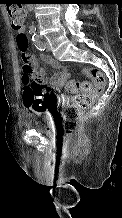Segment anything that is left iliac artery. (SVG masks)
<instances>
[{"mask_svg":"<svg viewBox=\"0 0 122 218\" xmlns=\"http://www.w3.org/2000/svg\"><path fill=\"white\" fill-rule=\"evenodd\" d=\"M32 40L36 46V48L40 51H44L45 50V46L43 44V42L41 41L39 35H37L36 33L33 35Z\"/></svg>","mask_w":122,"mask_h":218,"instance_id":"obj_1","label":"left iliac artery"}]
</instances>
